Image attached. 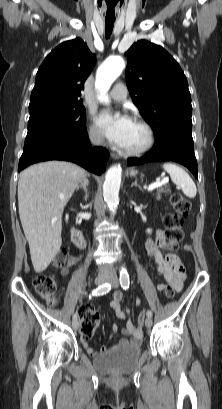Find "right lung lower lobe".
<instances>
[{
    "instance_id": "obj_1",
    "label": "right lung lower lobe",
    "mask_w": 222,
    "mask_h": 409,
    "mask_svg": "<svg viewBox=\"0 0 222 409\" xmlns=\"http://www.w3.org/2000/svg\"><path fill=\"white\" fill-rule=\"evenodd\" d=\"M108 157V151L102 147L91 149L88 135H86L73 148L42 145L23 151L19 161L18 172L33 163L47 160H66L75 162L87 170L100 175L106 169Z\"/></svg>"
}]
</instances>
